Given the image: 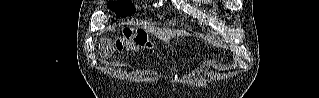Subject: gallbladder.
Masks as SVG:
<instances>
[{
	"label": "gallbladder",
	"instance_id": "1",
	"mask_svg": "<svg viewBox=\"0 0 319 98\" xmlns=\"http://www.w3.org/2000/svg\"><path fill=\"white\" fill-rule=\"evenodd\" d=\"M111 53H112V50L105 52V57H109L111 55Z\"/></svg>",
	"mask_w": 319,
	"mask_h": 98
}]
</instances>
